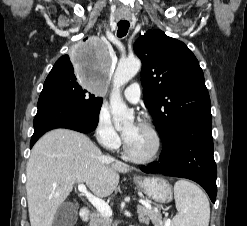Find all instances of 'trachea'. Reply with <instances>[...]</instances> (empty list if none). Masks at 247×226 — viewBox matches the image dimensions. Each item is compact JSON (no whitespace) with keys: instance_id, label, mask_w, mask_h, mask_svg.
<instances>
[{"instance_id":"3493384b","label":"trachea","mask_w":247,"mask_h":226,"mask_svg":"<svg viewBox=\"0 0 247 226\" xmlns=\"http://www.w3.org/2000/svg\"><path fill=\"white\" fill-rule=\"evenodd\" d=\"M129 22L127 21H120L117 26H118V30H117V36L118 37H124L129 29Z\"/></svg>"}]
</instances>
